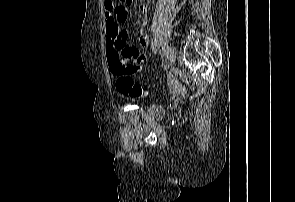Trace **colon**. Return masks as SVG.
Segmentation results:
<instances>
[{"label":"colon","instance_id":"colon-1","mask_svg":"<svg viewBox=\"0 0 295 202\" xmlns=\"http://www.w3.org/2000/svg\"><path fill=\"white\" fill-rule=\"evenodd\" d=\"M112 72L116 76V88L121 94L132 98L140 97L143 94L141 86L132 78L130 65L116 63L113 65Z\"/></svg>","mask_w":295,"mask_h":202}]
</instances>
